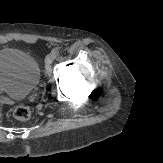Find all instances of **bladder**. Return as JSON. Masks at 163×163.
<instances>
[{"label":"bladder","instance_id":"31cf9c89","mask_svg":"<svg viewBox=\"0 0 163 163\" xmlns=\"http://www.w3.org/2000/svg\"><path fill=\"white\" fill-rule=\"evenodd\" d=\"M39 79L40 67L32 55L15 48L0 50V92L21 99L36 87Z\"/></svg>","mask_w":163,"mask_h":163}]
</instances>
